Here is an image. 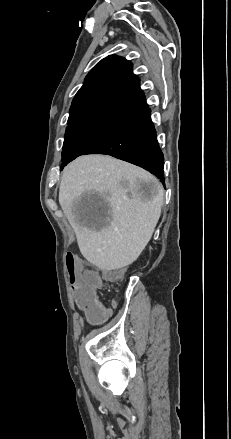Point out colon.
<instances>
[{"label":"colon","mask_w":231,"mask_h":439,"mask_svg":"<svg viewBox=\"0 0 231 439\" xmlns=\"http://www.w3.org/2000/svg\"><path fill=\"white\" fill-rule=\"evenodd\" d=\"M76 254L77 251L72 249L66 257L69 279L75 287L74 294L76 297V304L71 305L70 310L73 313L81 312L91 320H107L108 309L98 298L97 278L89 270L88 259H84L81 255L74 258ZM122 274L121 270H112L106 272L105 277L109 281H115L120 279Z\"/></svg>","instance_id":"1"}]
</instances>
